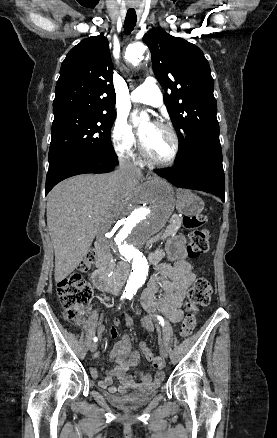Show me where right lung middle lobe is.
<instances>
[{"mask_svg": "<svg viewBox=\"0 0 277 438\" xmlns=\"http://www.w3.org/2000/svg\"><path fill=\"white\" fill-rule=\"evenodd\" d=\"M116 114H73L56 116L52 123L49 170L78 158L116 156L110 130Z\"/></svg>", "mask_w": 277, "mask_h": 438, "instance_id": "right-lung-middle-lobe-1", "label": "right lung middle lobe"}]
</instances>
